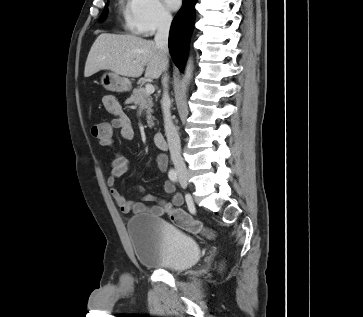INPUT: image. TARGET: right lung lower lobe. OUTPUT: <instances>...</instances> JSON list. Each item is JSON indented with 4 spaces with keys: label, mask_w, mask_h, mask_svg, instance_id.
<instances>
[{
    "label": "right lung lower lobe",
    "mask_w": 363,
    "mask_h": 317,
    "mask_svg": "<svg viewBox=\"0 0 363 317\" xmlns=\"http://www.w3.org/2000/svg\"><path fill=\"white\" fill-rule=\"evenodd\" d=\"M195 3L196 0H183V5L175 16L170 30V54L180 71H183L187 56L188 41L193 29Z\"/></svg>",
    "instance_id": "obj_1"
}]
</instances>
